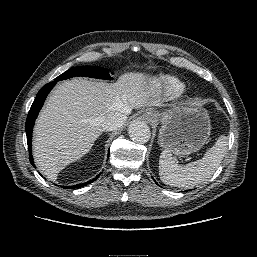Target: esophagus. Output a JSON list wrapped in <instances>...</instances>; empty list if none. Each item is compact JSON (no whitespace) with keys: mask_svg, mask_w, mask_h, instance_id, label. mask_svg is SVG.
Wrapping results in <instances>:
<instances>
[{"mask_svg":"<svg viewBox=\"0 0 257 257\" xmlns=\"http://www.w3.org/2000/svg\"><path fill=\"white\" fill-rule=\"evenodd\" d=\"M143 118L146 122L150 123L154 120V114L151 112H146L144 113Z\"/></svg>","mask_w":257,"mask_h":257,"instance_id":"34e87169","label":"esophagus"}]
</instances>
